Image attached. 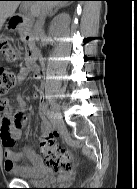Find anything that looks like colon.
<instances>
[{
  "mask_svg": "<svg viewBox=\"0 0 137 189\" xmlns=\"http://www.w3.org/2000/svg\"><path fill=\"white\" fill-rule=\"evenodd\" d=\"M0 51L11 62L21 57V53L7 41L0 40ZM16 82L17 76L13 72L0 68V99L8 95L15 87ZM15 126H21V118L17 120ZM57 136L58 134L54 132L41 141V153L49 167L58 171H68L71 168L70 153L65 146L57 144Z\"/></svg>",
  "mask_w": 137,
  "mask_h": 189,
  "instance_id": "1",
  "label": "colon"
}]
</instances>
